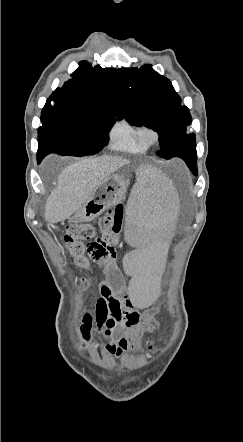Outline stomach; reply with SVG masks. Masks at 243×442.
<instances>
[{"mask_svg": "<svg viewBox=\"0 0 243 442\" xmlns=\"http://www.w3.org/2000/svg\"><path fill=\"white\" fill-rule=\"evenodd\" d=\"M127 191L125 178L118 174L109 175L95 189L91 197L75 212L73 219L78 222H89L105 210L121 201Z\"/></svg>", "mask_w": 243, "mask_h": 442, "instance_id": "obj_1", "label": "stomach"}]
</instances>
